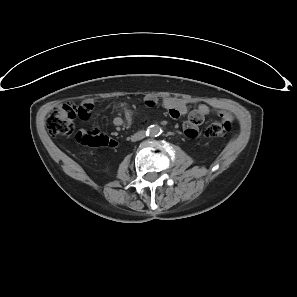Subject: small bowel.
<instances>
[{"label":"small bowel","instance_id":"obj_1","mask_svg":"<svg viewBox=\"0 0 297 297\" xmlns=\"http://www.w3.org/2000/svg\"><path fill=\"white\" fill-rule=\"evenodd\" d=\"M146 104L152 106L155 104V100L152 98H148L146 100ZM189 102L186 99H179L173 97H167L163 99L164 107L169 111L170 115L174 118H178L180 115H184L188 113ZM121 110L123 113V117H116L113 120V123L116 127H121L124 124L130 123L132 120V110L128 107H122ZM212 109L205 105L199 104L189 113V119L185 122V127L187 130V135L189 137H196L198 135L197 126L198 121L202 120L205 116H207Z\"/></svg>","mask_w":297,"mask_h":297}]
</instances>
